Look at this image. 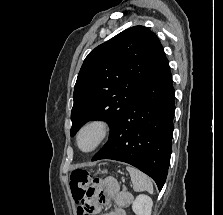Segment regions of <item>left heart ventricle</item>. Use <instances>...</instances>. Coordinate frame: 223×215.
<instances>
[{
	"instance_id": "left-heart-ventricle-1",
	"label": "left heart ventricle",
	"mask_w": 223,
	"mask_h": 215,
	"mask_svg": "<svg viewBox=\"0 0 223 215\" xmlns=\"http://www.w3.org/2000/svg\"><path fill=\"white\" fill-rule=\"evenodd\" d=\"M92 139H93V137H92L91 134H86V135L83 136L81 143L85 147L89 146L92 142Z\"/></svg>"
}]
</instances>
